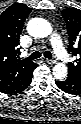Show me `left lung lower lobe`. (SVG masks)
Masks as SVG:
<instances>
[{"mask_svg": "<svg viewBox=\"0 0 81 124\" xmlns=\"http://www.w3.org/2000/svg\"><path fill=\"white\" fill-rule=\"evenodd\" d=\"M56 85L68 94L81 95V83L75 81L73 78L68 77L66 80L56 81Z\"/></svg>", "mask_w": 81, "mask_h": 124, "instance_id": "1", "label": "left lung lower lobe"}]
</instances>
